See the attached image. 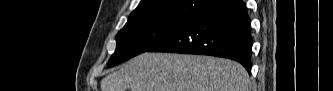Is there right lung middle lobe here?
I'll list each match as a JSON object with an SVG mask.
<instances>
[{
    "mask_svg": "<svg viewBox=\"0 0 333 91\" xmlns=\"http://www.w3.org/2000/svg\"><path fill=\"white\" fill-rule=\"evenodd\" d=\"M215 2V0H205L202 6L206 9ZM191 19V17L180 16H147L128 20L116 35V50L108 66L112 67L148 51L174 34Z\"/></svg>",
    "mask_w": 333,
    "mask_h": 91,
    "instance_id": "obj_1",
    "label": "right lung middle lobe"
}]
</instances>
